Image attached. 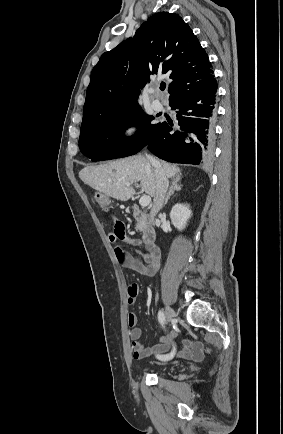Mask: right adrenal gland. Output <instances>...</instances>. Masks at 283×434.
I'll return each instance as SVG.
<instances>
[{
    "mask_svg": "<svg viewBox=\"0 0 283 434\" xmlns=\"http://www.w3.org/2000/svg\"><path fill=\"white\" fill-rule=\"evenodd\" d=\"M181 177L178 175L174 178V180L172 181V185L170 187V190L165 198L164 201V206L168 203V200L171 198V196L176 192V191H180L182 189V187L180 185H178V182L180 181Z\"/></svg>",
    "mask_w": 283,
    "mask_h": 434,
    "instance_id": "obj_1",
    "label": "right adrenal gland"
}]
</instances>
